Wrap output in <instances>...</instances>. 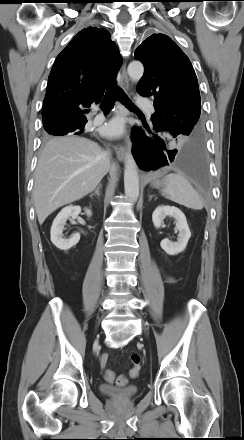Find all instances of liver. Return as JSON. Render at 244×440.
Returning a JSON list of instances; mask_svg holds the SVG:
<instances>
[{
  "label": "liver",
  "mask_w": 244,
  "mask_h": 440,
  "mask_svg": "<svg viewBox=\"0 0 244 440\" xmlns=\"http://www.w3.org/2000/svg\"><path fill=\"white\" fill-rule=\"evenodd\" d=\"M109 169L101 147L89 139L66 136L47 142L34 174L33 200L40 225L59 207L92 192Z\"/></svg>",
  "instance_id": "6515ba94"
}]
</instances>
